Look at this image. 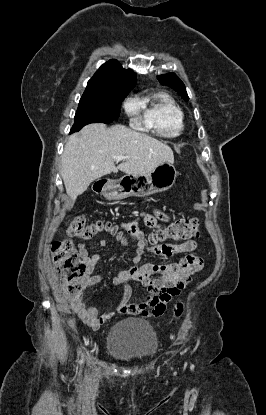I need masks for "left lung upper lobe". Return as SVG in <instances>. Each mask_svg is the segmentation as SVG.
<instances>
[{
  "mask_svg": "<svg viewBox=\"0 0 266 415\" xmlns=\"http://www.w3.org/2000/svg\"><path fill=\"white\" fill-rule=\"evenodd\" d=\"M158 80L162 85H166L174 89L185 101L189 100L185 85L176 74L168 73L160 75L158 76Z\"/></svg>",
  "mask_w": 266,
  "mask_h": 415,
  "instance_id": "1",
  "label": "left lung upper lobe"
}]
</instances>
